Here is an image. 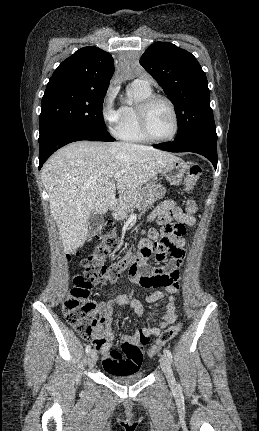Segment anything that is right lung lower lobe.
Instances as JSON below:
<instances>
[{
  "mask_svg": "<svg viewBox=\"0 0 259 431\" xmlns=\"http://www.w3.org/2000/svg\"><path fill=\"white\" fill-rule=\"evenodd\" d=\"M80 140L115 141L109 134H103L81 126L62 125L51 128L39 137V169L56 150L68 143Z\"/></svg>",
  "mask_w": 259,
  "mask_h": 431,
  "instance_id": "98d812e1",
  "label": "right lung lower lobe"
}]
</instances>
